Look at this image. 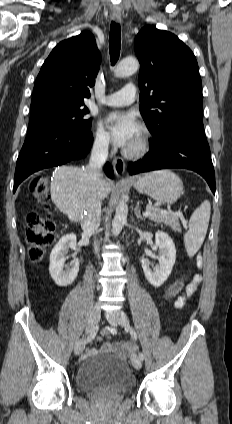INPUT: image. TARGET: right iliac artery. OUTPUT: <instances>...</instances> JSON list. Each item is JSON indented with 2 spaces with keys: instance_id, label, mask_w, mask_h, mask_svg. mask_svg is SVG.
Listing matches in <instances>:
<instances>
[{
  "instance_id": "1",
  "label": "right iliac artery",
  "mask_w": 232,
  "mask_h": 424,
  "mask_svg": "<svg viewBox=\"0 0 232 424\" xmlns=\"http://www.w3.org/2000/svg\"><path fill=\"white\" fill-rule=\"evenodd\" d=\"M97 331H98V327L96 326L93 329V331L90 333V335L88 336L87 340H85V344L88 343V342H90V341H92L95 338V336L97 334Z\"/></svg>"
}]
</instances>
